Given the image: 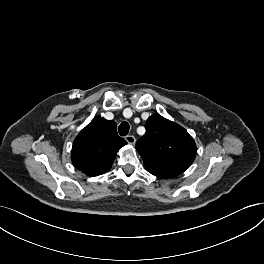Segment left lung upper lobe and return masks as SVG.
<instances>
[{"label":"left lung upper lobe","instance_id":"1","mask_svg":"<svg viewBox=\"0 0 264 264\" xmlns=\"http://www.w3.org/2000/svg\"><path fill=\"white\" fill-rule=\"evenodd\" d=\"M146 133L136 143L144 165L184 172L195 159L196 144L178 124L152 115L145 123Z\"/></svg>","mask_w":264,"mask_h":264}]
</instances>
